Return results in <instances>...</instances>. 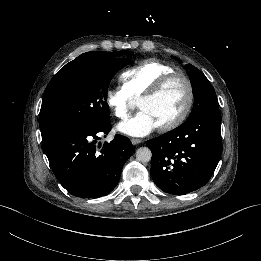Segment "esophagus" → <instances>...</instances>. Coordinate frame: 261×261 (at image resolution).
<instances>
[{
    "label": "esophagus",
    "mask_w": 261,
    "mask_h": 261,
    "mask_svg": "<svg viewBox=\"0 0 261 261\" xmlns=\"http://www.w3.org/2000/svg\"><path fill=\"white\" fill-rule=\"evenodd\" d=\"M131 142L133 145L139 144L142 142V139H138V138H132Z\"/></svg>",
    "instance_id": "1"
}]
</instances>
